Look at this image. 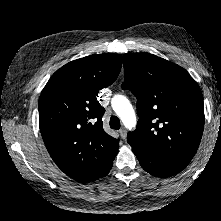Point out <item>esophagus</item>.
<instances>
[{
  "label": "esophagus",
  "instance_id": "34e87169",
  "mask_svg": "<svg viewBox=\"0 0 221 221\" xmlns=\"http://www.w3.org/2000/svg\"><path fill=\"white\" fill-rule=\"evenodd\" d=\"M119 135H120V137H121L122 139H125V138H126V135H127L126 129H125V128L120 129V130H119Z\"/></svg>",
  "mask_w": 221,
  "mask_h": 221
}]
</instances>
